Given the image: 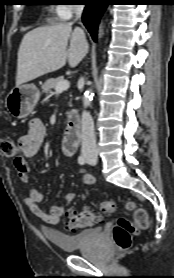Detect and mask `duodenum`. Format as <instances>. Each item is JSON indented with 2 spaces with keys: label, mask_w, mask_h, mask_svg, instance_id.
<instances>
[{
  "label": "duodenum",
  "mask_w": 174,
  "mask_h": 278,
  "mask_svg": "<svg viewBox=\"0 0 174 278\" xmlns=\"http://www.w3.org/2000/svg\"><path fill=\"white\" fill-rule=\"evenodd\" d=\"M80 136V123L78 115L71 111L67 116V125L62 138V150L70 155L74 151L75 144L78 143Z\"/></svg>",
  "instance_id": "obj_1"
}]
</instances>
